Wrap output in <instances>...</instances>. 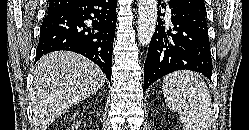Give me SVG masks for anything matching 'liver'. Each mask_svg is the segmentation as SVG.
<instances>
[{"instance_id":"6515ba94","label":"liver","mask_w":249,"mask_h":130,"mask_svg":"<svg viewBox=\"0 0 249 130\" xmlns=\"http://www.w3.org/2000/svg\"><path fill=\"white\" fill-rule=\"evenodd\" d=\"M105 80L95 63L77 53L43 56L36 64L31 92L36 130H46L70 107L96 93Z\"/></svg>"}]
</instances>
